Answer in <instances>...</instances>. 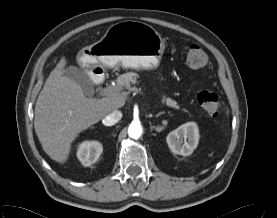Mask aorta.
I'll list each match as a JSON object with an SVG mask.
<instances>
[{
	"mask_svg": "<svg viewBox=\"0 0 277 218\" xmlns=\"http://www.w3.org/2000/svg\"><path fill=\"white\" fill-rule=\"evenodd\" d=\"M142 134V126L139 122H132L128 127V135L132 139H138Z\"/></svg>",
	"mask_w": 277,
	"mask_h": 218,
	"instance_id": "obj_1",
	"label": "aorta"
}]
</instances>
